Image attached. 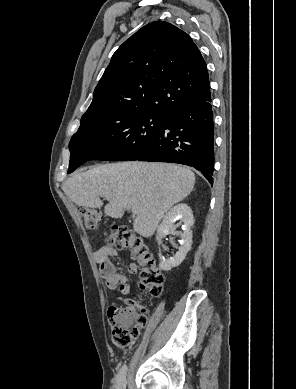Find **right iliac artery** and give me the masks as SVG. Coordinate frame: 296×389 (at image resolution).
<instances>
[{"label":"right iliac artery","instance_id":"obj_1","mask_svg":"<svg viewBox=\"0 0 296 389\" xmlns=\"http://www.w3.org/2000/svg\"><path fill=\"white\" fill-rule=\"evenodd\" d=\"M126 374H127V366L124 365L118 372L117 374V380H116V389H122L124 386V382L126 379Z\"/></svg>","mask_w":296,"mask_h":389}]
</instances>
